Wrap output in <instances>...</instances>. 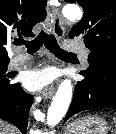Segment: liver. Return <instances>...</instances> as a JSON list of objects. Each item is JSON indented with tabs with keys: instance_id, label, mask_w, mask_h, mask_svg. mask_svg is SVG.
<instances>
[{
	"instance_id": "6515ba94",
	"label": "liver",
	"mask_w": 116,
	"mask_h": 134,
	"mask_svg": "<svg viewBox=\"0 0 116 134\" xmlns=\"http://www.w3.org/2000/svg\"><path fill=\"white\" fill-rule=\"evenodd\" d=\"M0 134H17V132L9 124L0 121Z\"/></svg>"
}]
</instances>
